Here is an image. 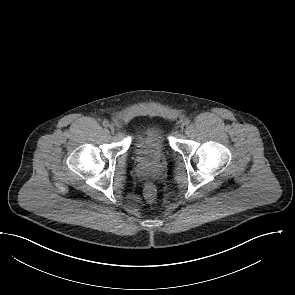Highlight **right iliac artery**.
<instances>
[{
    "instance_id": "1",
    "label": "right iliac artery",
    "mask_w": 295,
    "mask_h": 295,
    "mask_svg": "<svg viewBox=\"0 0 295 295\" xmlns=\"http://www.w3.org/2000/svg\"><path fill=\"white\" fill-rule=\"evenodd\" d=\"M102 124H103L104 127H108L109 126V122L107 120H104Z\"/></svg>"
}]
</instances>
